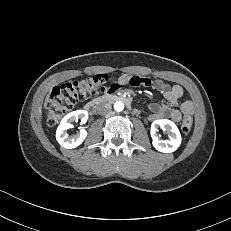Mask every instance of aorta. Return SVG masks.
Wrapping results in <instances>:
<instances>
[{
  "instance_id": "aorta-1",
  "label": "aorta",
  "mask_w": 231,
  "mask_h": 231,
  "mask_svg": "<svg viewBox=\"0 0 231 231\" xmlns=\"http://www.w3.org/2000/svg\"><path fill=\"white\" fill-rule=\"evenodd\" d=\"M114 109H115V111H117V112L123 111V109H124V103H123L122 101H116V102L114 103Z\"/></svg>"
}]
</instances>
